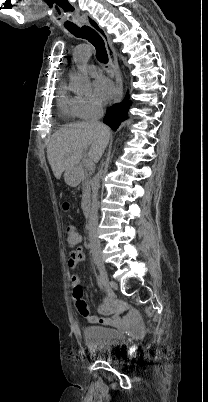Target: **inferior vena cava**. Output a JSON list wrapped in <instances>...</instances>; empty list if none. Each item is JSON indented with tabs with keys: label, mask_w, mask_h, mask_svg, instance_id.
Masks as SVG:
<instances>
[{
	"label": "inferior vena cava",
	"mask_w": 208,
	"mask_h": 402,
	"mask_svg": "<svg viewBox=\"0 0 208 402\" xmlns=\"http://www.w3.org/2000/svg\"><path fill=\"white\" fill-rule=\"evenodd\" d=\"M94 112L91 120V124H96V126H103V124H99V118L103 116V108L99 106V104H93ZM104 170H99L98 174H96L95 178H93L92 182V208L89 214L88 220V232H89V242L90 244H95V246H100V240L98 238V190L100 188V178L104 176Z\"/></svg>",
	"instance_id": "602c4592"
}]
</instances>
